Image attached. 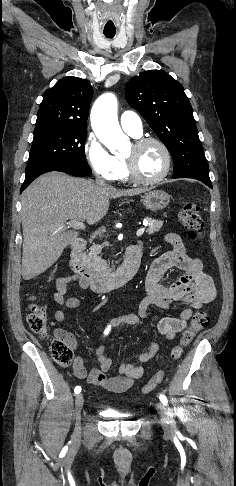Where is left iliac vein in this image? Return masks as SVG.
Returning a JSON list of instances; mask_svg holds the SVG:
<instances>
[{
  "instance_id": "obj_1",
  "label": "left iliac vein",
  "mask_w": 236,
  "mask_h": 486,
  "mask_svg": "<svg viewBox=\"0 0 236 486\" xmlns=\"http://www.w3.org/2000/svg\"><path fill=\"white\" fill-rule=\"evenodd\" d=\"M157 409L161 415V425L164 431L169 435L173 434L176 426L169 409L162 403L157 404Z\"/></svg>"
}]
</instances>
